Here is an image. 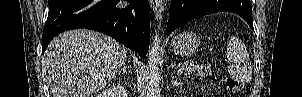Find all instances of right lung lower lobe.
<instances>
[{"mask_svg": "<svg viewBox=\"0 0 302 97\" xmlns=\"http://www.w3.org/2000/svg\"><path fill=\"white\" fill-rule=\"evenodd\" d=\"M77 28L111 36L146 56L150 42L148 0H49V13L42 36V53L59 33Z\"/></svg>", "mask_w": 302, "mask_h": 97, "instance_id": "98d812e1", "label": "right lung lower lobe"}]
</instances>
